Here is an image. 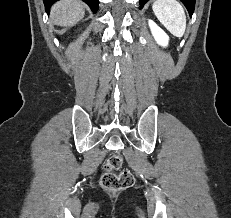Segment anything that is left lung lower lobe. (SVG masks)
I'll use <instances>...</instances> for the list:
<instances>
[{
	"instance_id": "left-lung-lower-lobe-1",
	"label": "left lung lower lobe",
	"mask_w": 231,
	"mask_h": 218,
	"mask_svg": "<svg viewBox=\"0 0 231 218\" xmlns=\"http://www.w3.org/2000/svg\"><path fill=\"white\" fill-rule=\"evenodd\" d=\"M149 0H140V6L141 8L145 5L146 2H148ZM185 7L187 8L190 16H192L193 12H194V7H195V0H180Z\"/></svg>"
}]
</instances>
